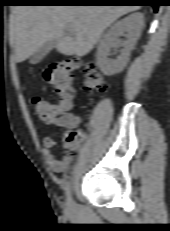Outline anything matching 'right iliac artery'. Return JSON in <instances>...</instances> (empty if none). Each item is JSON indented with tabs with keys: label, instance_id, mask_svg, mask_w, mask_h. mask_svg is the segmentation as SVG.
<instances>
[{
	"label": "right iliac artery",
	"instance_id": "82829eb1",
	"mask_svg": "<svg viewBox=\"0 0 170 231\" xmlns=\"http://www.w3.org/2000/svg\"><path fill=\"white\" fill-rule=\"evenodd\" d=\"M65 193H66L67 199L69 200L71 198V182L70 181L66 183Z\"/></svg>",
	"mask_w": 170,
	"mask_h": 231
}]
</instances>
